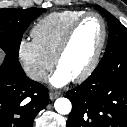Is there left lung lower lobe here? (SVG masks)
Listing matches in <instances>:
<instances>
[{"label":"left lung lower lobe","instance_id":"1","mask_svg":"<svg viewBox=\"0 0 127 127\" xmlns=\"http://www.w3.org/2000/svg\"><path fill=\"white\" fill-rule=\"evenodd\" d=\"M66 96L72 102L67 127H127V48L101 60Z\"/></svg>","mask_w":127,"mask_h":127}]
</instances>
